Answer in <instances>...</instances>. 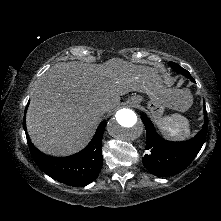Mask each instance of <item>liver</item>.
Masks as SVG:
<instances>
[{"mask_svg": "<svg viewBox=\"0 0 221 221\" xmlns=\"http://www.w3.org/2000/svg\"><path fill=\"white\" fill-rule=\"evenodd\" d=\"M156 69L119 58L103 64L59 62L37 81L26 115L33 144L43 153L67 156L84 148L103 114L131 91L165 99L167 108L184 111L178 95L166 96Z\"/></svg>", "mask_w": 221, "mask_h": 221, "instance_id": "6515ba94", "label": "liver"}]
</instances>
